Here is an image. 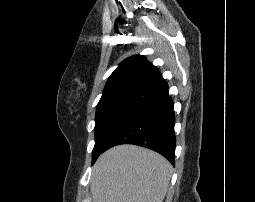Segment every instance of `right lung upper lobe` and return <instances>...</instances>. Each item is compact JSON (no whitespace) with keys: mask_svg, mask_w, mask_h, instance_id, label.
I'll list each match as a JSON object with an SVG mask.
<instances>
[{"mask_svg":"<svg viewBox=\"0 0 255 202\" xmlns=\"http://www.w3.org/2000/svg\"><path fill=\"white\" fill-rule=\"evenodd\" d=\"M168 95L167 83L144 56L124 60L109 77L96 115L114 111L138 112Z\"/></svg>","mask_w":255,"mask_h":202,"instance_id":"cb5924a9","label":"right lung upper lobe"}]
</instances>
